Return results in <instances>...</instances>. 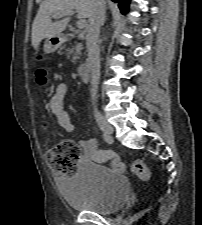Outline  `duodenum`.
I'll list each match as a JSON object with an SVG mask.
<instances>
[{"instance_id": "1", "label": "duodenum", "mask_w": 202, "mask_h": 225, "mask_svg": "<svg viewBox=\"0 0 202 225\" xmlns=\"http://www.w3.org/2000/svg\"><path fill=\"white\" fill-rule=\"evenodd\" d=\"M79 74L84 81H88L90 79V66L86 63L80 64Z\"/></svg>"}]
</instances>
